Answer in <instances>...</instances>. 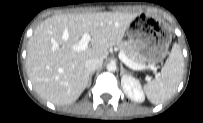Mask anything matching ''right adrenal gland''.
Here are the masks:
<instances>
[{"mask_svg":"<svg viewBox=\"0 0 203 123\" xmlns=\"http://www.w3.org/2000/svg\"><path fill=\"white\" fill-rule=\"evenodd\" d=\"M94 72H91L90 73V76H89V82H88V85L87 87H90L91 86V83H92V76H93Z\"/></svg>","mask_w":203,"mask_h":123,"instance_id":"1","label":"right adrenal gland"}]
</instances>
